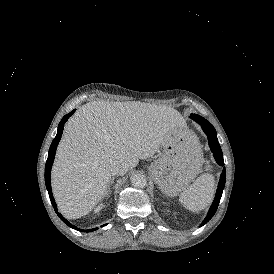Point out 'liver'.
<instances>
[{
    "mask_svg": "<svg viewBox=\"0 0 274 274\" xmlns=\"http://www.w3.org/2000/svg\"><path fill=\"white\" fill-rule=\"evenodd\" d=\"M187 132L175 109L140 101H92L66 124L52 170V189L69 219L89 214L113 177L158 154L172 133Z\"/></svg>",
    "mask_w": 274,
    "mask_h": 274,
    "instance_id": "1",
    "label": "liver"
}]
</instances>
